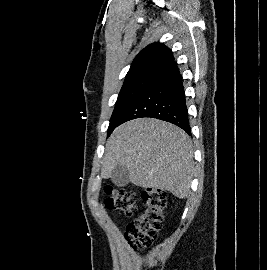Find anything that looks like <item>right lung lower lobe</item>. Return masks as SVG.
Returning <instances> with one entry per match:
<instances>
[{"label": "right lung lower lobe", "mask_w": 267, "mask_h": 270, "mask_svg": "<svg viewBox=\"0 0 267 270\" xmlns=\"http://www.w3.org/2000/svg\"><path fill=\"white\" fill-rule=\"evenodd\" d=\"M141 117L173 123L191 134L184 87L175 61L155 75L149 87L128 111L123 123Z\"/></svg>", "instance_id": "right-lung-lower-lobe-1"}]
</instances>
